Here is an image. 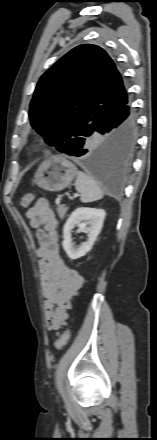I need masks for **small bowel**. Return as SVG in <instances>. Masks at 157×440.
<instances>
[{"label":"small bowel","mask_w":157,"mask_h":440,"mask_svg":"<svg viewBox=\"0 0 157 440\" xmlns=\"http://www.w3.org/2000/svg\"><path fill=\"white\" fill-rule=\"evenodd\" d=\"M26 216L38 240L41 289L44 297L45 321L51 331H58L67 321L71 299L78 293L84 279L64 262L58 245L57 219L47 199H38Z\"/></svg>","instance_id":"1"}]
</instances>
